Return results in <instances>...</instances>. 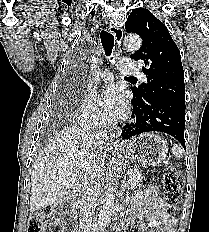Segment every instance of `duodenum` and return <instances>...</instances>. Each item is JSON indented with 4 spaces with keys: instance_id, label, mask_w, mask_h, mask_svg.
<instances>
[{
    "instance_id": "410a0bca",
    "label": "duodenum",
    "mask_w": 209,
    "mask_h": 232,
    "mask_svg": "<svg viewBox=\"0 0 209 232\" xmlns=\"http://www.w3.org/2000/svg\"><path fill=\"white\" fill-rule=\"evenodd\" d=\"M74 204H70L67 210V217L62 223V229L65 231H72L75 227V218H74Z\"/></svg>"
}]
</instances>
